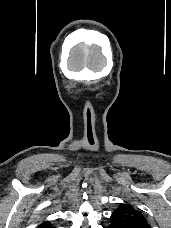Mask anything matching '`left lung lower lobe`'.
Wrapping results in <instances>:
<instances>
[{
  "label": "left lung lower lobe",
  "instance_id": "1",
  "mask_svg": "<svg viewBox=\"0 0 171 228\" xmlns=\"http://www.w3.org/2000/svg\"><path fill=\"white\" fill-rule=\"evenodd\" d=\"M109 228H150L149 224L128 222L122 226H114L112 223Z\"/></svg>",
  "mask_w": 171,
  "mask_h": 228
}]
</instances>
